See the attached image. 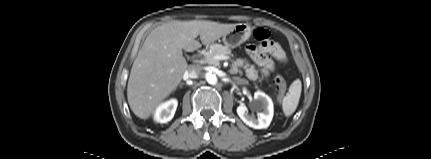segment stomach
<instances>
[{
	"instance_id": "obj_1",
	"label": "stomach",
	"mask_w": 431,
	"mask_h": 159,
	"mask_svg": "<svg viewBox=\"0 0 431 159\" xmlns=\"http://www.w3.org/2000/svg\"><path fill=\"white\" fill-rule=\"evenodd\" d=\"M251 33L252 28L250 25L239 23L222 36V41L226 46L235 48L248 40Z\"/></svg>"
}]
</instances>
